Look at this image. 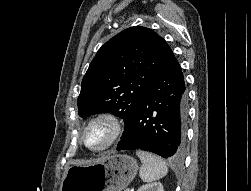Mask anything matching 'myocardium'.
I'll use <instances>...</instances> for the list:
<instances>
[{
	"label": "myocardium",
	"mask_w": 251,
	"mask_h": 191,
	"mask_svg": "<svg viewBox=\"0 0 251 191\" xmlns=\"http://www.w3.org/2000/svg\"><path fill=\"white\" fill-rule=\"evenodd\" d=\"M102 120L109 124L111 129V136L108 144L100 151H92L86 148L82 143V134L85 131V129L92 124L95 121ZM123 133V124L120 118L113 112L110 111H100L92 116H90L83 124L78 138H79V145L82 149L94 154V155H103L106 152H108L120 139L121 135Z\"/></svg>",
	"instance_id": "f54148a6"
}]
</instances>
